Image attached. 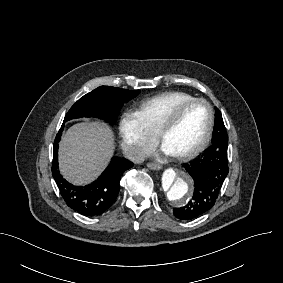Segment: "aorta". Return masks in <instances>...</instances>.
I'll return each mask as SVG.
<instances>
[{"instance_id":"1","label":"aorta","mask_w":283,"mask_h":283,"mask_svg":"<svg viewBox=\"0 0 283 283\" xmlns=\"http://www.w3.org/2000/svg\"><path fill=\"white\" fill-rule=\"evenodd\" d=\"M193 180L182 169L168 168L161 177L160 195L175 206H184L191 200Z\"/></svg>"}]
</instances>
